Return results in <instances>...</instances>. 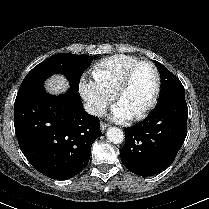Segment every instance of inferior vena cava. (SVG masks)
<instances>
[{"label":"inferior vena cava","mask_w":209,"mask_h":209,"mask_svg":"<svg viewBox=\"0 0 209 209\" xmlns=\"http://www.w3.org/2000/svg\"><path fill=\"white\" fill-rule=\"evenodd\" d=\"M84 109L87 113L98 117H101L106 113V108L104 105L91 101L84 103Z\"/></svg>","instance_id":"1"}]
</instances>
